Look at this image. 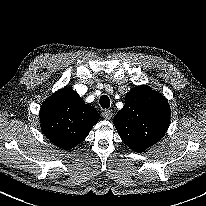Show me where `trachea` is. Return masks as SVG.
<instances>
[{
	"label": "trachea",
	"instance_id": "obj_1",
	"mask_svg": "<svg viewBox=\"0 0 206 206\" xmlns=\"http://www.w3.org/2000/svg\"><path fill=\"white\" fill-rule=\"evenodd\" d=\"M99 102L103 109H108L110 106V99L107 95H102Z\"/></svg>",
	"mask_w": 206,
	"mask_h": 206
}]
</instances>
